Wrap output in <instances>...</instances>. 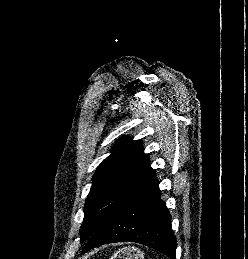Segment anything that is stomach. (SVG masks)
Listing matches in <instances>:
<instances>
[{
    "label": "stomach",
    "mask_w": 248,
    "mask_h": 259,
    "mask_svg": "<svg viewBox=\"0 0 248 259\" xmlns=\"http://www.w3.org/2000/svg\"><path fill=\"white\" fill-rule=\"evenodd\" d=\"M110 259H144V254L134 246H126L115 252Z\"/></svg>",
    "instance_id": "0dacf381"
}]
</instances>
